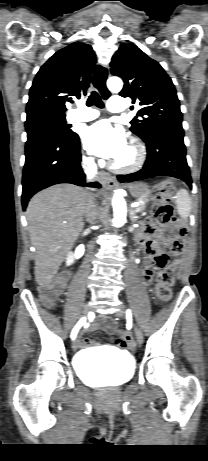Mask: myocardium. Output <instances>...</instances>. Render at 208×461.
<instances>
[{
	"instance_id": "myocardium-1",
	"label": "myocardium",
	"mask_w": 208,
	"mask_h": 461,
	"mask_svg": "<svg viewBox=\"0 0 208 461\" xmlns=\"http://www.w3.org/2000/svg\"><path fill=\"white\" fill-rule=\"evenodd\" d=\"M132 152L133 159L127 164H121L117 161L111 163V168L119 173H131L139 170L146 160V149L143 143L136 137H130L127 144Z\"/></svg>"
}]
</instances>
